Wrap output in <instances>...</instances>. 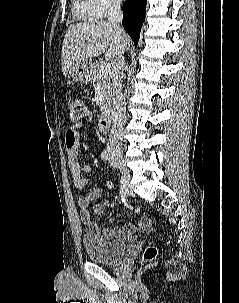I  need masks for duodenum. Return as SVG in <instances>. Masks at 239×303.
Wrapping results in <instances>:
<instances>
[{
	"mask_svg": "<svg viewBox=\"0 0 239 303\" xmlns=\"http://www.w3.org/2000/svg\"><path fill=\"white\" fill-rule=\"evenodd\" d=\"M110 121H111L110 113L108 111H105L98 120L99 129L104 133L109 132Z\"/></svg>",
	"mask_w": 239,
	"mask_h": 303,
	"instance_id": "duodenum-1",
	"label": "duodenum"
}]
</instances>
